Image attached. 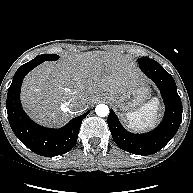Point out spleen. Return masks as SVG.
Segmentation results:
<instances>
[{
  "label": "spleen",
  "instance_id": "3e777b00",
  "mask_svg": "<svg viewBox=\"0 0 193 193\" xmlns=\"http://www.w3.org/2000/svg\"><path fill=\"white\" fill-rule=\"evenodd\" d=\"M157 100H150L136 111L128 112L126 117L129 122L128 127L134 131H144L152 127L157 119L159 109Z\"/></svg>",
  "mask_w": 193,
  "mask_h": 193
}]
</instances>
